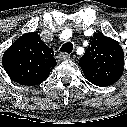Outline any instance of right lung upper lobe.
<instances>
[{
	"label": "right lung upper lobe",
	"mask_w": 127,
	"mask_h": 127,
	"mask_svg": "<svg viewBox=\"0 0 127 127\" xmlns=\"http://www.w3.org/2000/svg\"><path fill=\"white\" fill-rule=\"evenodd\" d=\"M2 65L12 80L32 86L48 78L57 62L53 50L33 32L20 36L5 51Z\"/></svg>",
	"instance_id": "obj_1"
}]
</instances>
